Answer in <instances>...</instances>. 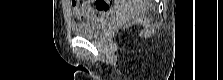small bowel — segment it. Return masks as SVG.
Returning <instances> with one entry per match:
<instances>
[{
    "label": "small bowel",
    "mask_w": 223,
    "mask_h": 80,
    "mask_svg": "<svg viewBox=\"0 0 223 80\" xmlns=\"http://www.w3.org/2000/svg\"><path fill=\"white\" fill-rule=\"evenodd\" d=\"M115 6L114 2H96L95 7L92 8L88 3L79 4L72 1V8L75 16L82 20L91 19L103 13H107Z\"/></svg>",
    "instance_id": "obj_1"
}]
</instances>
